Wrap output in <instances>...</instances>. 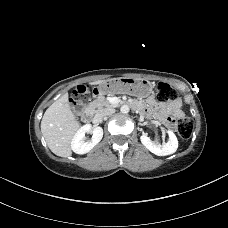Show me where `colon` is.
<instances>
[{"mask_svg": "<svg viewBox=\"0 0 228 228\" xmlns=\"http://www.w3.org/2000/svg\"><path fill=\"white\" fill-rule=\"evenodd\" d=\"M179 94L176 89L165 82H160L157 86V98L159 101H175ZM90 96L86 85H79L73 91L71 104L74 108L80 109L89 102ZM177 131L181 138L187 139L193 131V121L189 117H183L177 122Z\"/></svg>", "mask_w": 228, "mask_h": 228, "instance_id": "colon-1", "label": "colon"}]
</instances>
